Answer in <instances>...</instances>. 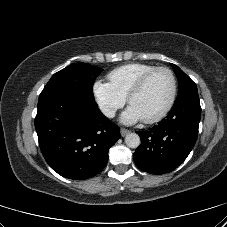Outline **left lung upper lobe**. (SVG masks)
<instances>
[{
  "mask_svg": "<svg viewBox=\"0 0 227 227\" xmlns=\"http://www.w3.org/2000/svg\"><path fill=\"white\" fill-rule=\"evenodd\" d=\"M171 66L173 67L179 82L178 98L188 92L197 91L196 84L190 79L189 76H187L178 66L172 63H171Z\"/></svg>",
  "mask_w": 227,
  "mask_h": 227,
  "instance_id": "5c2ea615",
  "label": "left lung upper lobe"
}]
</instances>
